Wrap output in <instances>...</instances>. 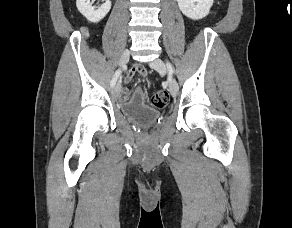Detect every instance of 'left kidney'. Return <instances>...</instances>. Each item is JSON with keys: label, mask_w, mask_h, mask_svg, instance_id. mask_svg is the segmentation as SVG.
Wrapping results in <instances>:
<instances>
[{"label": "left kidney", "mask_w": 292, "mask_h": 228, "mask_svg": "<svg viewBox=\"0 0 292 228\" xmlns=\"http://www.w3.org/2000/svg\"><path fill=\"white\" fill-rule=\"evenodd\" d=\"M214 0H177L181 12L193 20H199L209 14Z\"/></svg>", "instance_id": "obj_1"}]
</instances>
